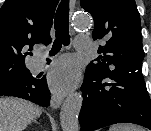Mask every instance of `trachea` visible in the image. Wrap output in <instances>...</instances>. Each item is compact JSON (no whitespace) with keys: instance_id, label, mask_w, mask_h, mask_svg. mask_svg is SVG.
<instances>
[{"instance_id":"trachea-1","label":"trachea","mask_w":151,"mask_h":131,"mask_svg":"<svg viewBox=\"0 0 151 131\" xmlns=\"http://www.w3.org/2000/svg\"><path fill=\"white\" fill-rule=\"evenodd\" d=\"M54 27L56 30V39L53 43L50 55L58 53L62 45L68 46L70 44L69 0H62L59 4L54 19Z\"/></svg>"}]
</instances>
